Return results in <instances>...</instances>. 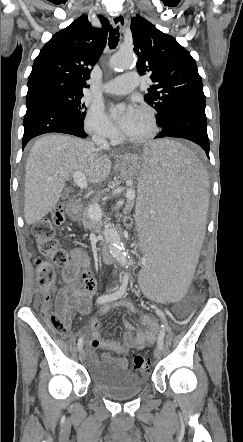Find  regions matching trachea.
<instances>
[{
    "label": "trachea",
    "mask_w": 243,
    "mask_h": 442,
    "mask_svg": "<svg viewBox=\"0 0 243 442\" xmlns=\"http://www.w3.org/2000/svg\"><path fill=\"white\" fill-rule=\"evenodd\" d=\"M118 28L116 30H113V28H110V33H109V48L110 49H114L116 48V46L118 45L119 42V31Z\"/></svg>",
    "instance_id": "3493384b"
}]
</instances>
